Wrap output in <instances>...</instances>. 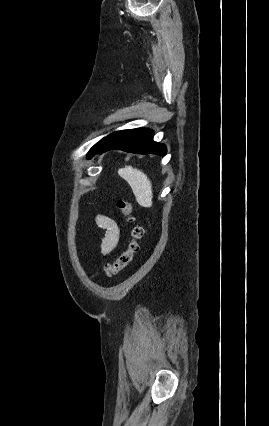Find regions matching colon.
Segmentation results:
<instances>
[{
	"label": "colon",
	"instance_id": "1",
	"mask_svg": "<svg viewBox=\"0 0 269 426\" xmlns=\"http://www.w3.org/2000/svg\"><path fill=\"white\" fill-rule=\"evenodd\" d=\"M117 206L125 221L132 226L130 231V240L127 248L120 256L112 263H107L104 266V274L107 277H112L126 268L132 261L133 257L139 251V241L144 236V228L136 223V218L133 213V207L130 202L120 199Z\"/></svg>",
	"mask_w": 269,
	"mask_h": 426
}]
</instances>
